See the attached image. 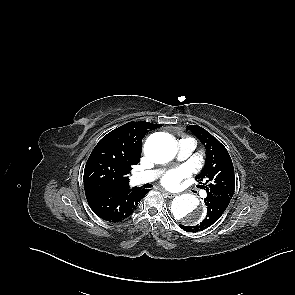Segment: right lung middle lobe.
<instances>
[{
  "instance_id": "right-lung-middle-lobe-1",
  "label": "right lung middle lobe",
  "mask_w": 295,
  "mask_h": 295,
  "mask_svg": "<svg viewBox=\"0 0 295 295\" xmlns=\"http://www.w3.org/2000/svg\"><path fill=\"white\" fill-rule=\"evenodd\" d=\"M132 165L106 148L93 149L84 169L85 191L117 189L128 182Z\"/></svg>"
}]
</instances>
